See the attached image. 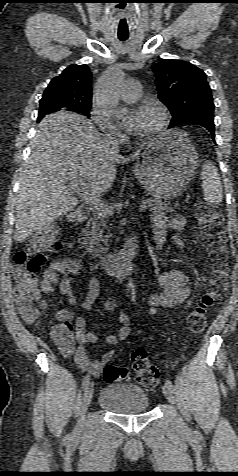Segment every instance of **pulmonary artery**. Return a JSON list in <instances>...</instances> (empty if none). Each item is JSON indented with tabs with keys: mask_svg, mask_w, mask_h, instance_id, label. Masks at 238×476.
Segmentation results:
<instances>
[{
	"mask_svg": "<svg viewBox=\"0 0 238 476\" xmlns=\"http://www.w3.org/2000/svg\"><path fill=\"white\" fill-rule=\"evenodd\" d=\"M142 95V86L137 80H128L125 82L121 91V99L125 102H134Z\"/></svg>",
	"mask_w": 238,
	"mask_h": 476,
	"instance_id": "obj_1",
	"label": "pulmonary artery"
}]
</instances>
